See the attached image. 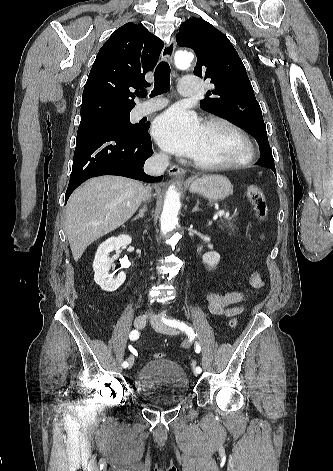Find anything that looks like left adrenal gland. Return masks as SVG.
Instances as JSON below:
<instances>
[{
	"label": "left adrenal gland",
	"mask_w": 333,
	"mask_h": 471,
	"mask_svg": "<svg viewBox=\"0 0 333 471\" xmlns=\"http://www.w3.org/2000/svg\"><path fill=\"white\" fill-rule=\"evenodd\" d=\"M196 211H200V209H199V200L196 201V205L192 210L193 213L196 212Z\"/></svg>",
	"instance_id": "a2214340"
}]
</instances>
